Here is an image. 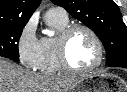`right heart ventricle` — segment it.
<instances>
[{
  "mask_svg": "<svg viewBox=\"0 0 127 92\" xmlns=\"http://www.w3.org/2000/svg\"><path fill=\"white\" fill-rule=\"evenodd\" d=\"M46 21L48 25L56 31V35L52 37H42L40 44V59L37 70L42 74H57L62 72L60 66L56 41L60 32L69 25L68 17H62L57 14L47 13Z\"/></svg>",
  "mask_w": 127,
  "mask_h": 92,
  "instance_id": "right-heart-ventricle-1",
  "label": "right heart ventricle"
}]
</instances>
